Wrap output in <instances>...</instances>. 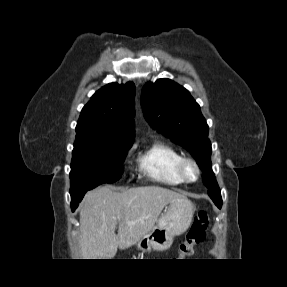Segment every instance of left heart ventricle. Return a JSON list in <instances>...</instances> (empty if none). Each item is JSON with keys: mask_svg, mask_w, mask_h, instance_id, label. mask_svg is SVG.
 <instances>
[{"mask_svg": "<svg viewBox=\"0 0 287 287\" xmlns=\"http://www.w3.org/2000/svg\"><path fill=\"white\" fill-rule=\"evenodd\" d=\"M188 176L193 179L196 176V171L192 166H189L187 169Z\"/></svg>", "mask_w": 287, "mask_h": 287, "instance_id": "1", "label": "left heart ventricle"}]
</instances>
